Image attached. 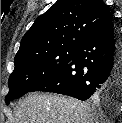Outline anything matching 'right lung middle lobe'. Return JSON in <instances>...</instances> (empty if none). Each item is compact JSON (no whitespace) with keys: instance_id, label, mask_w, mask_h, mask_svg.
Wrapping results in <instances>:
<instances>
[{"instance_id":"obj_1","label":"right lung middle lobe","mask_w":122,"mask_h":123,"mask_svg":"<svg viewBox=\"0 0 122 123\" xmlns=\"http://www.w3.org/2000/svg\"><path fill=\"white\" fill-rule=\"evenodd\" d=\"M75 53L76 49H62L15 61V69L9 77L10 90L5 99L6 104L48 79L69 63Z\"/></svg>"}]
</instances>
